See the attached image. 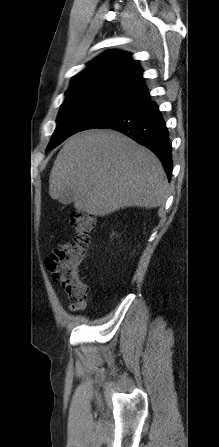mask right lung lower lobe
<instances>
[{"label": "right lung lower lobe", "mask_w": 219, "mask_h": 447, "mask_svg": "<svg viewBox=\"0 0 219 447\" xmlns=\"http://www.w3.org/2000/svg\"><path fill=\"white\" fill-rule=\"evenodd\" d=\"M97 128L119 131L150 149L161 161L170 180L173 163L169 135L155 102L148 100L117 117L109 119Z\"/></svg>", "instance_id": "obj_1"}]
</instances>
